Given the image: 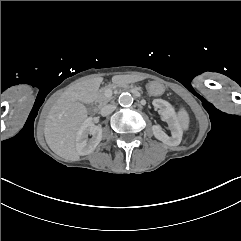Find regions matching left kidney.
Segmentation results:
<instances>
[{
    "label": "left kidney",
    "instance_id": "1",
    "mask_svg": "<svg viewBox=\"0 0 241 241\" xmlns=\"http://www.w3.org/2000/svg\"><path fill=\"white\" fill-rule=\"evenodd\" d=\"M152 104L154 107L161 109L162 119L168 123L172 135L169 137L160 125H153L152 131L154 136L168 146L179 145L182 140L183 131L176 120L174 108L169 102L162 99H154Z\"/></svg>",
    "mask_w": 241,
    "mask_h": 241
}]
</instances>
